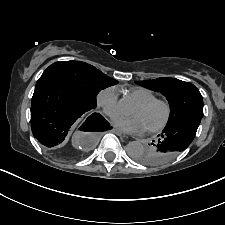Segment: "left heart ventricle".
<instances>
[{
	"label": "left heart ventricle",
	"mask_w": 225,
	"mask_h": 225,
	"mask_svg": "<svg viewBox=\"0 0 225 225\" xmlns=\"http://www.w3.org/2000/svg\"><path fill=\"white\" fill-rule=\"evenodd\" d=\"M132 115L140 116L149 128L159 124L163 120L165 109L159 104L149 108H143L137 104L132 111Z\"/></svg>",
	"instance_id": "1"
}]
</instances>
